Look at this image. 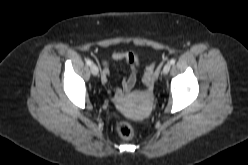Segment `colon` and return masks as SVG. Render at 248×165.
I'll use <instances>...</instances> for the list:
<instances>
[{"label": "colon", "mask_w": 248, "mask_h": 165, "mask_svg": "<svg viewBox=\"0 0 248 165\" xmlns=\"http://www.w3.org/2000/svg\"><path fill=\"white\" fill-rule=\"evenodd\" d=\"M156 77V66L154 63H151L144 74L143 83L148 89H152L153 83ZM116 133L123 139L130 140L135 137L134 127L126 121H118L115 124Z\"/></svg>", "instance_id": "obj_1"}]
</instances>
